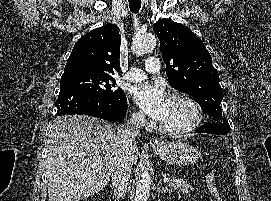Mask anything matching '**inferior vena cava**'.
<instances>
[{"mask_svg": "<svg viewBox=\"0 0 271 201\" xmlns=\"http://www.w3.org/2000/svg\"><path fill=\"white\" fill-rule=\"evenodd\" d=\"M144 123L145 116L139 112L132 114L130 119L117 127L116 138L120 149L112 170V186L117 199L122 198L126 192L132 168L131 148Z\"/></svg>", "mask_w": 271, "mask_h": 201, "instance_id": "602c4592", "label": "inferior vena cava"}]
</instances>
